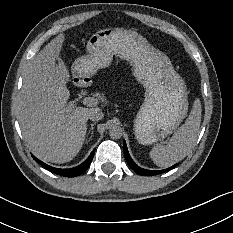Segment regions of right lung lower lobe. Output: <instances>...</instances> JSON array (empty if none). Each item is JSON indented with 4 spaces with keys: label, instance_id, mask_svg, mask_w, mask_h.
<instances>
[{
    "label": "right lung lower lobe",
    "instance_id": "98d812e1",
    "mask_svg": "<svg viewBox=\"0 0 233 233\" xmlns=\"http://www.w3.org/2000/svg\"><path fill=\"white\" fill-rule=\"evenodd\" d=\"M94 152H95V149L91 152L90 156L82 164H80L77 167L71 168V169L54 168V167H51V166L43 163L42 161L38 160L35 156L32 155V157L36 162H38L43 167H45L46 169H48L49 171H51L55 174H58L61 176H66V177H75V176L82 174L83 172H85L87 170V168L89 167V165L93 159Z\"/></svg>",
    "mask_w": 233,
    "mask_h": 233
}]
</instances>
